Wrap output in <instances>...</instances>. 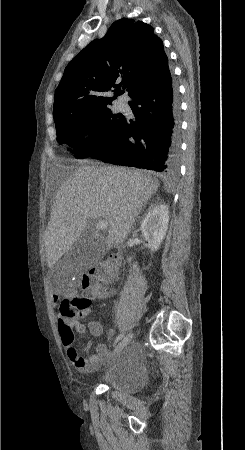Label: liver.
Instances as JSON below:
<instances>
[{
    "label": "liver",
    "instance_id": "1",
    "mask_svg": "<svg viewBox=\"0 0 245 450\" xmlns=\"http://www.w3.org/2000/svg\"><path fill=\"white\" fill-rule=\"evenodd\" d=\"M159 183L125 167L84 165L72 171L59 187L45 231L47 264L52 268L84 235L88 220H105V243L122 244Z\"/></svg>",
    "mask_w": 245,
    "mask_h": 450
}]
</instances>
